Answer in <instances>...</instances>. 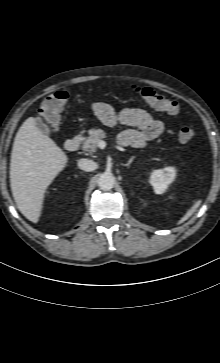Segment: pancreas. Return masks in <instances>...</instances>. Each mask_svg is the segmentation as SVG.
Listing matches in <instances>:
<instances>
[{
    "label": "pancreas",
    "mask_w": 220,
    "mask_h": 363,
    "mask_svg": "<svg viewBox=\"0 0 220 363\" xmlns=\"http://www.w3.org/2000/svg\"><path fill=\"white\" fill-rule=\"evenodd\" d=\"M106 137V133L102 129L91 130L89 136L83 143V149L89 152H96L98 143Z\"/></svg>",
    "instance_id": "cf45deb5"
}]
</instances>
